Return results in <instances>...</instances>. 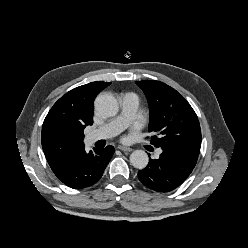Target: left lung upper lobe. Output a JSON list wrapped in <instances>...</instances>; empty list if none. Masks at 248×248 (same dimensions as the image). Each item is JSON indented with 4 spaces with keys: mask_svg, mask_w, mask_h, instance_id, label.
Wrapping results in <instances>:
<instances>
[{
    "mask_svg": "<svg viewBox=\"0 0 248 248\" xmlns=\"http://www.w3.org/2000/svg\"><path fill=\"white\" fill-rule=\"evenodd\" d=\"M150 108L149 132L155 147L199 155L201 129L196 113L175 89L155 80L136 81Z\"/></svg>",
    "mask_w": 248,
    "mask_h": 248,
    "instance_id": "1",
    "label": "left lung upper lobe"
}]
</instances>
